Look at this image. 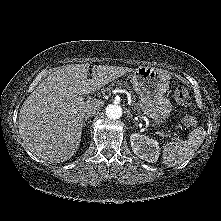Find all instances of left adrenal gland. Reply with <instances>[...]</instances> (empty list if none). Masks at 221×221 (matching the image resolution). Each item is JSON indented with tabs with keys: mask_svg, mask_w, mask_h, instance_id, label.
Here are the masks:
<instances>
[{
	"mask_svg": "<svg viewBox=\"0 0 221 221\" xmlns=\"http://www.w3.org/2000/svg\"><path fill=\"white\" fill-rule=\"evenodd\" d=\"M127 117L132 118L133 119V115L130 113V111H127ZM134 120V119H133ZM136 124V122H135Z\"/></svg>",
	"mask_w": 221,
	"mask_h": 221,
	"instance_id": "a2214340",
	"label": "left adrenal gland"
}]
</instances>
